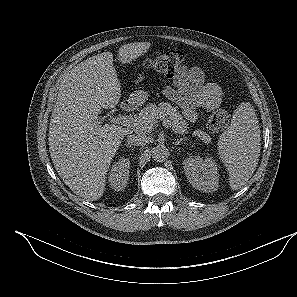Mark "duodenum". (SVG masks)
Here are the masks:
<instances>
[{"label": "duodenum", "instance_id": "obj_1", "mask_svg": "<svg viewBox=\"0 0 297 297\" xmlns=\"http://www.w3.org/2000/svg\"><path fill=\"white\" fill-rule=\"evenodd\" d=\"M135 106H136V102L134 100L125 101L121 105V111L123 113H130L134 110Z\"/></svg>", "mask_w": 297, "mask_h": 297}]
</instances>
